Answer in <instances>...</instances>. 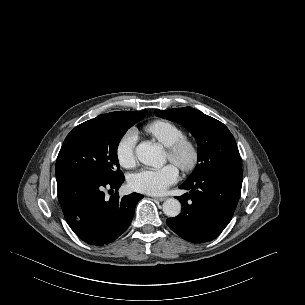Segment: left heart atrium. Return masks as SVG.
<instances>
[{"label":"left heart atrium","mask_w":305,"mask_h":305,"mask_svg":"<svg viewBox=\"0 0 305 305\" xmlns=\"http://www.w3.org/2000/svg\"><path fill=\"white\" fill-rule=\"evenodd\" d=\"M179 178V171L173 164L162 168H145L130 177V186L138 192L149 195L163 194L168 187L175 184Z\"/></svg>","instance_id":"1"}]
</instances>
